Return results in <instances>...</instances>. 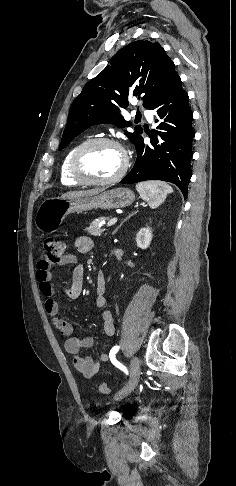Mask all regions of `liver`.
Returning a JSON list of instances; mask_svg holds the SVG:
<instances>
[{
    "label": "liver",
    "instance_id": "6515ba94",
    "mask_svg": "<svg viewBox=\"0 0 236 486\" xmlns=\"http://www.w3.org/2000/svg\"><path fill=\"white\" fill-rule=\"evenodd\" d=\"M100 192H102L101 189H91L86 191H69L67 193L62 194L60 198L69 199V198H76V197H86V196H92L98 194Z\"/></svg>",
    "mask_w": 236,
    "mask_h": 486
}]
</instances>
